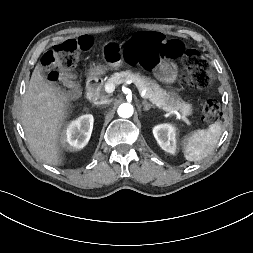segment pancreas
I'll use <instances>...</instances> for the list:
<instances>
[{
	"label": "pancreas",
	"instance_id": "pancreas-1",
	"mask_svg": "<svg viewBox=\"0 0 253 253\" xmlns=\"http://www.w3.org/2000/svg\"><path fill=\"white\" fill-rule=\"evenodd\" d=\"M127 81H132L138 89L146 91L147 98L154 103L157 107L163 108L166 111L173 110L168 104V94L153 80L142 76L140 73H134L131 71H122L119 73H114L105 83H112L114 85H119ZM180 112L187 116L191 114V107L185 104Z\"/></svg>",
	"mask_w": 253,
	"mask_h": 253
}]
</instances>
